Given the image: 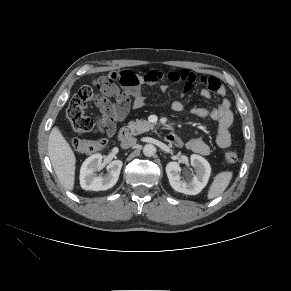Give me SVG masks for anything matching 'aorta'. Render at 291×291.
Returning a JSON list of instances; mask_svg holds the SVG:
<instances>
[{
	"label": "aorta",
	"mask_w": 291,
	"mask_h": 291,
	"mask_svg": "<svg viewBox=\"0 0 291 291\" xmlns=\"http://www.w3.org/2000/svg\"><path fill=\"white\" fill-rule=\"evenodd\" d=\"M155 152H156V148L152 144H146L143 147V154L147 157L153 156L155 154Z\"/></svg>",
	"instance_id": "762f6f07"
}]
</instances>
